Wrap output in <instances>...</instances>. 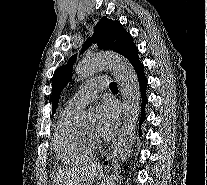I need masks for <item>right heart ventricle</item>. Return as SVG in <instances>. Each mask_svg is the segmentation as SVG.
Wrapping results in <instances>:
<instances>
[{
    "label": "right heart ventricle",
    "mask_w": 207,
    "mask_h": 185,
    "mask_svg": "<svg viewBox=\"0 0 207 185\" xmlns=\"http://www.w3.org/2000/svg\"><path fill=\"white\" fill-rule=\"evenodd\" d=\"M74 111L61 113L54 133V144L59 157L68 164L78 165L94 160L97 148L73 122Z\"/></svg>",
    "instance_id": "right-heart-ventricle-1"
}]
</instances>
